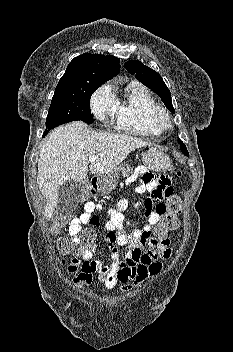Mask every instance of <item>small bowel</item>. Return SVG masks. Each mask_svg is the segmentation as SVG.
Wrapping results in <instances>:
<instances>
[{"mask_svg": "<svg viewBox=\"0 0 233 352\" xmlns=\"http://www.w3.org/2000/svg\"><path fill=\"white\" fill-rule=\"evenodd\" d=\"M137 179L141 182L135 187V193H148L142 203L145 208L146 224L141 228L135 227L132 234L127 236L124 233V227L131 226L123 214L127 208V201L122 199L117 209H108L106 212L109 219L105 223V229L108 231L106 239L113 262L109 266H103L100 262L93 260V248H87L82 252L81 258H73L68 265L69 273L74 275L72 281L75 285L89 286L93 282L94 275L98 274L106 288L113 289L120 284L123 290H128L157 274L162 268L161 260L170 257L172 249L169 246V240L163 243L150 238L161 218L157 206L163 204V199L173 194L170 179L166 175L154 174L143 166L138 167L132 173L127 183L130 184ZM155 203L157 204L156 210H152ZM102 209L103 206L100 203L87 201L84 204V212L69 223L70 236H77L84 224L99 226V220L94 213ZM128 243L132 250L124 261L120 260L119 246ZM146 244H149L151 249L143 253L140 247Z\"/></svg>", "mask_w": 233, "mask_h": 352, "instance_id": "small-bowel-1", "label": "small bowel"}]
</instances>
